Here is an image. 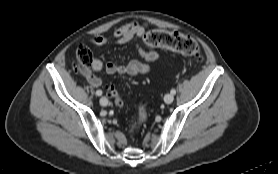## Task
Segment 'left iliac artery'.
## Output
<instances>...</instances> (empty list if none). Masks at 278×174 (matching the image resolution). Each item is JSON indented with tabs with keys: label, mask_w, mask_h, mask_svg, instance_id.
<instances>
[{
	"label": "left iliac artery",
	"mask_w": 278,
	"mask_h": 174,
	"mask_svg": "<svg viewBox=\"0 0 278 174\" xmlns=\"http://www.w3.org/2000/svg\"><path fill=\"white\" fill-rule=\"evenodd\" d=\"M170 93H171L172 95H175V94H176V90H175V89H172V90L170 91Z\"/></svg>",
	"instance_id": "obj_1"
}]
</instances>
